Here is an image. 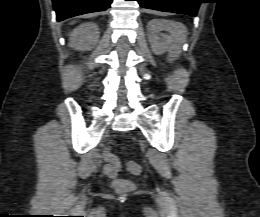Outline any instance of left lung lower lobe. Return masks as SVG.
<instances>
[{"label": "left lung lower lobe", "mask_w": 260, "mask_h": 217, "mask_svg": "<svg viewBox=\"0 0 260 217\" xmlns=\"http://www.w3.org/2000/svg\"><path fill=\"white\" fill-rule=\"evenodd\" d=\"M141 7L196 16L201 0H137Z\"/></svg>", "instance_id": "left-lung-lower-lobe-1"}]
</instances>
